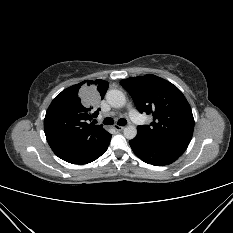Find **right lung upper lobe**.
Wrapping results in <instances>:
<instances>
[{
    "label": "right lung upper lobe",
    "instance_id": "right-lung-upper-lobe-1",
    "mask_svg": "<svg viewBox=\"0 0 233 233\" xmlns=\"http://www.w3.org/2000/svg\"><path fill=\"white\" fill-rule=\"evenodd\" d=\"M108 89L104 80H86L63 90L50 104L44 119V131L53 152L64 161L82 164L95 157L109 143L111 135L102 125L90 123L92 113L80 91L103 99Z\"/></svg>",
    "mask_w": 233,
    "mask_h": 233
}]
</instances>
